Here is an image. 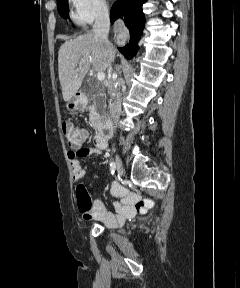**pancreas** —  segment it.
<instances>
[{
    "instance_id": "cf45deb5",
    "label": "pancreas",
    "mask_w": 240,
    "mask_h": 288,
    "mask_svg": "<svg viewBox=\"0 0 240 288\" xmlns=\"http://www.w3.org/2000/svg\"><path fill=\"white\" fill-rule=\"evenodd\" d=\"M96 88H97L98 91H102L103 88H104V84L101 83V82H97ZM89 110H90L89 116H90L91 119H93V118L98 116L97 109H96L95 105H92Z\"/></svg>"
}]
</instances>
